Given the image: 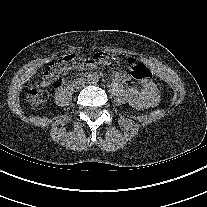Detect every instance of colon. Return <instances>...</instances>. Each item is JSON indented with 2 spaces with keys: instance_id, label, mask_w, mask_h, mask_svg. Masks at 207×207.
Returning a JSON list of instances; mask_svg holds the SVG:
<instances>
[{
  "instance_id": "colon-1",
  "label": "colon",
  "mask_w": 207,
  "mask_h": 207,
  "mask_svg": "<svg viewBox=\"0 0 207 207\" xmlns=\"http://www.w3.org/2000/svg\"><path fill=\"white\" fill-rule=\"evenodd\" d=\"M117 59L107 52H97L91 55H66L59 59L58 62L51 67V70L45 74V78L36 87L30 89L29 100L33 107L42 106L48 98L46 87L52 80L61 77L72 69L91 68L96 66L114 68ZM131 75L138 80H145L151 76V71L147 65L137 62L134 59L128 61Z\"/></svg>"
}]
</instances>
